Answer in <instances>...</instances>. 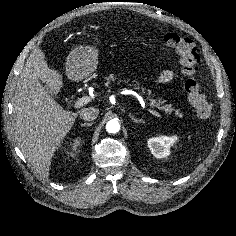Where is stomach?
I'll list each match as a JSON object with an SVG mask.
<instances>
[{
	"label": "stomach",
	"mask_w": 236,
	"mask_h": 236,
	"mask_svg": "<svg viewBox=\"0 0 236 236\" xmlns=\"http://www.w3.org/2000/svg\"><path fill=\"white\" fill-rule=\"evenodd\" d=\"M97 64L98 50L92 46H79L67 58V76L71 80H81L91 75L97 69Z\"/></svg>",
	"instance_id": "0dacf381"
}]
</instances>
